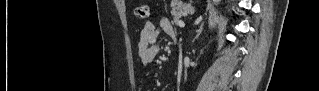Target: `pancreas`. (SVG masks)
<instances>
[{
  "mask_svg": "<svg viewBox=\"0 0 319 91\" xmlns=\"http://www.w3.org/2000/svg\"><path fill=\"white\" fill-rule=\"evenodd\" d=\"M192 10V7L187 5V4H183L181 2L176 3V5H172V11H171V15L173 16V23L177 24L179 19L181 18V16L184 13H188Z\"/></svg>",
  "mask_w": 319,
  "mask_h": 91,
  "instance_id": "1",
  "label": "pancreas"
}]
</instances>
